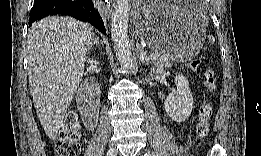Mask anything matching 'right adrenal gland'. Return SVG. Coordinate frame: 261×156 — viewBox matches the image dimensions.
Wrapping results in <instances>:
<instances>
[{"label":"right adrenal gland","mask_w":261,"mask_h":156,"mask_svg":"<svg viewBox=\"0 0 261 156\" xmlns=\"http://www.w3.org/2000/svg\"><path fill=\"white\" fill-rule=\"evenodd\" d=\"M93 44L96 45V46H98V45L100 44L99 39H98V38H94L93 41L91 42V44L89 45L88 50L91 49V47H92Z\"/></svg>","instance_id":"right-adrenal-gland-1"}]
</instances>
